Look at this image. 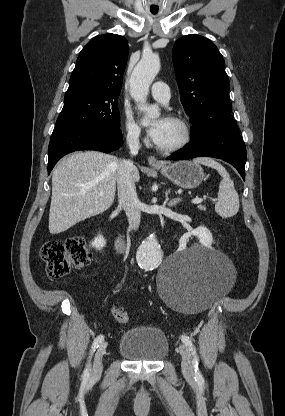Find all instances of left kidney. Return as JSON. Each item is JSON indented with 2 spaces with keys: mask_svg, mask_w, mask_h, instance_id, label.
Listing matches in <instances>:
<instances>
[{
  "mask_svg": "<svg viewBox=\"0 0 285 416\" xmlns=\"http://www.w3.org/2000/svg\"><path fill=\"white\" fill-rule=\"evenodd\" d=\"M194 234L195 236H197V238H199L202 246H205V248H211L213 236L210 230H207L205 226H199V228H196V230H194ZM187 242L188 236H182V238H180L179 244L180 246H186Z\"/></svg>",
  "mask_w": 285,
  "mask_h": 416,
  "instance_id": "obj_1",
  "label": "left kidney"
}]
</instances>
